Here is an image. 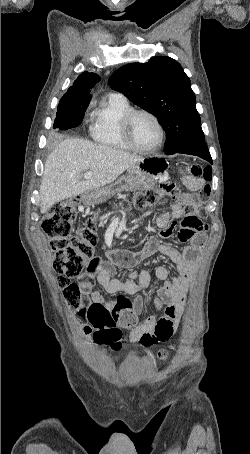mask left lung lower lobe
<instances>
[{"label":"left lung lower lobe","mask_w":250,"mask_h":454,"mask_svg":"<svg viewBox=\"0 0 250 454\" xmlns=\"http://www.w3.org/2000/svg\"><path fill=\"white\" fill-rule=\"evenodd\" d=\"M175 153L199 156L212 164V158H211V155L209 153V150L207 148L205 141H200V142L194 143L184 149L174 152L173 154H175Z\"/></svg>","instance_id":"0a47b994"}]
</instances>
